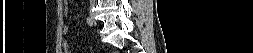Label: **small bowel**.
Returning <instances> with one entry per match:
<instances>
[{
    "label": "small bowel",
    "instance_id": "obj_1",
    "mask_svg": "<svg viewBox=\"0 0 253 53\" xmlns=\"http://www.w3.org/2000/svg\"><path fill=\"white\" fill-rule=\"evenodd\" d=\"M65 13H67V7H65ZM63 31H64V33H67V32H68V27L65 26V27L63 28ZM65 46H66V45H65Z\"/></svg>",
    "mask_w": 253,
    "mask_h": 53
}]
</instances>
